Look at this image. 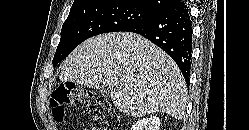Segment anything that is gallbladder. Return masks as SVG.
<instances>
[{
    "mask_svg": "<svg viewBox=\"0 0 249 130\" xmlns=\"http://www.w3.org/2000/svg\"><path fill=\"white\" fill-rule=\"evenodd\" d=\"M100 92H101V94L103 95V96H105V97H109L110 96V90L108 89V88H102L101 90H100Z\"/></svg>",
    "mask_w": 249,
    "mask_h": 130,
    "instance_id": "1",
    "label": "gallbladder"
}]
</instances>
